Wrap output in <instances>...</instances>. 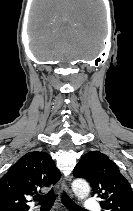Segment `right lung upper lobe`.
Listing matches in <instances>:
<instances>
[{
  "mask_svg": "<svg viewBox=\"0 0 133 211\" xmlns=\"http://www.w3.org/2000/svg\"><path fill=\"white\" fill-rule=\"evenodd\" d=\"M60 177L49 154H25L0 179V211H27L26 198L55 184Z\"/></svg>",
  "mask_w": 133,
  "mask_h": 211,
  "instance_id": "right-lung-upper-lobe-1",
  "label": "right lung upper lobe"
}]
</instances>
